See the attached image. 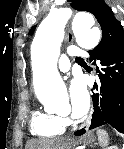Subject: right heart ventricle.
<instances>
[{"label": "right heart ventricle", "mask_w": 124, "mask_h": 149, "mask_svg": "<svg viewBox=\"0 0 124 149\" xmlns=\"http://www.w3.org/2000/svg\"><path fill=\"white\" fill-rule=\"evenodd\" d=\"M65 123L56 114L45 110H35L30 116V133L40 139L50 140L63 134Z\"/></svg>", "instance_id": "right-heart-ventricle-1"}]
</instances>
